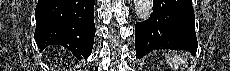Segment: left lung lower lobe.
<instances>
[{"instance_id": "1", "label": "left lung lower lobe", "mask_w": 230, "mask_h": 71, "mask_svg": "<svg viewBox=\"0 0 230 71\" xmlns=\"http://www.w3.org/2000/svg\"><path fill=\"white\" fill-rule=\"evenodd\" d=\"M197 46L191 0H153V14L135 25L139 59L155 49L186 50L195 54Z\"/></svg>"}]
</instances>
